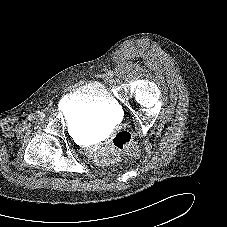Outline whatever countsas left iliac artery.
Masks as SVG:
<instances>
[{
	"mask_svg": "<svg viewBox=\"0 0 227 227\" xmlns=\"http://www.w3.org/2000/svg\"><path fill=\"white\" fill-rule=\"evenodd\" d=\"M108 76L113 77L114 76L113 71H108Z\"/></svg>",
	"mask_w": 227,
	"mask_h": 227,
	"instance_id": "1",
	"label": "left iliac artery"
}]
</instances>
